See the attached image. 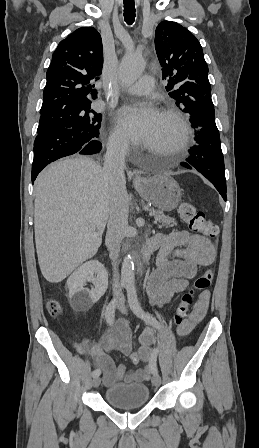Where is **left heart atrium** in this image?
<instances>
[{
    "instance_id": "obj_1",
    "label": "left heart atrium",
    "mask_w": 259,
    "mask_h": 448,
    "mask_svg": "<svg viewBox=\"0 0 259 448\" xmlns=\"http://www.w3.org/2000/svg\"><path fill=\"white\" fill-rule=\"evenodd\" d=\"M158 111L150 105H129L118 115L119 127L133 140L140 141L158 120Z\"/></svg>"
}]
</instances>
